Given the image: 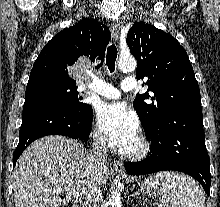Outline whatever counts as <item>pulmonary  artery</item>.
<instances>
[{
  "instance_id": "e3ab8cb5",
  "label": "pulmonary artery",
  "mask_w": 220,
  "mask_h": 207,
  "mask_svg": "<svg viewBox=\"0 0 220 207\" xmlns=\"http://www.w3.org/2000/svg\"><path fill=\"white\" fill-rule=\"evenodd\" d=\"M135 87V79L132 77H127L121 82V90L103 81H96L91 85L90 88L94 93L100 95L103 98L117 99L121 96V92H130L134 90Z\"/></svg>"
}]
</instances>
